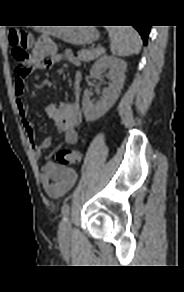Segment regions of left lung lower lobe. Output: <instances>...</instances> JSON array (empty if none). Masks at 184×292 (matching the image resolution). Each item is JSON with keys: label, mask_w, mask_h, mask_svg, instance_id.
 Returning a JSON list of instances; mask_svg holds the SVG:
<instances>
[{"label": "left lung lower lobe", "mask_w": 184, "mask_h": 292, "mask_svg": "<svg viewBox=\"0 0 184 292\" xmlns=\"http://www.w3.org/2000/svg\"><path fill=\"white\" fill-rule=\"evenodd\" d=\"M133 27H135V29L139 32V34L141 35L144 44H147V39H148V35L150 32V26H145V25H134Z\"/></svg>", "instance_id": "0a47b994"}]
</instances>
